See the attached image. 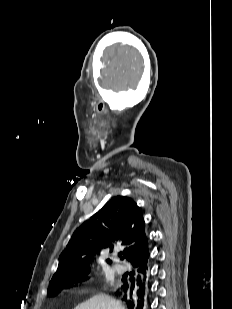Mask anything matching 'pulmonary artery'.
Instances as JSON below:
<instances>
[{"mask_svg": "<svg viewBox=\"0 0 232 309\" xmlns=\"http://www.w3.org/2000/svg\"><path fill=\"white\" fill-rule=\"evenodd\" d=\"M114 270H115V272L122 274L126 271V267L123 266V265L117 264V265L114 266Z\"/></svg>", "mask_w": 232, "mask_h": 309, "instance_id": "e3ab8cb5", "label": "pulmonary artery"}]
</instances>
